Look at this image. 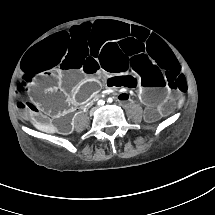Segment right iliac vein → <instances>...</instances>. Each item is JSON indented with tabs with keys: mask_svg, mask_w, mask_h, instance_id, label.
<instances>
[{
	"mask_svg": "<svg viewBox=\"0 0 215 215\" xmlns=\"http://www.w3.org/2000/svg\"><path fill=\"white\" fill-rule=\"evenodd\" d=\"M93 113H94V110H91V111H90V114L92 115Z\"/></svg>",
	"mask_w": 215,
	"mask_h": 215,
	"instance_id": "63e3f726",
	"label": "right iliac vein"
}]
</instances>
